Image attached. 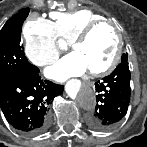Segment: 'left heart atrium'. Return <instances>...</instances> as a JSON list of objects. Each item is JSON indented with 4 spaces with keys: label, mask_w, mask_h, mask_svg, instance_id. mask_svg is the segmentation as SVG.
Returning <instances> with one entry per match:
<instances>
[{
    "label": "left heart atrium",
    "mask_w": 147,
    "mask_h": 147,
    "mask_svg": "<svg viewBox=\"0 0 147 147\" xmlns=\"http://www.w3.org/2000/svg\"><path fill=\"white\" fill-rule=\"evenodd\" d=\"M87 71L86 64L80 55L72 52L57 61L46 70V75L57 81H66L70 77L81 76Z\"/></svg>",
    "instance_id": "1"
}]
</instances>
